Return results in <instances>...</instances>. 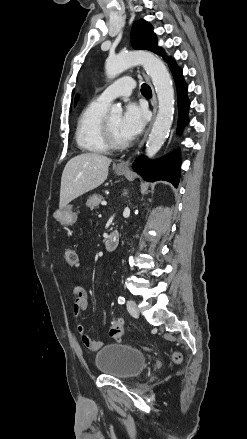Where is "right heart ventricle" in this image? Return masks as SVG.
<instances>
[{
	"mask_svg": "<svg viewBox=\"0 0 247 439\" xmlns=\"http://www.w3.org/2000/svg\"><path fill=\"white\" fill-rule=\"evenodd\" d=\"M108 104L93 99L79 115L75 139L78 147L87 152L104 153L109 150L103 139V120Z\"/></svg>",
	"mask_w": 247,
	"mask_h": 439,
	"instance_id": "obj_1",
	"label": "right heart ventricle"
}]
</instances>
